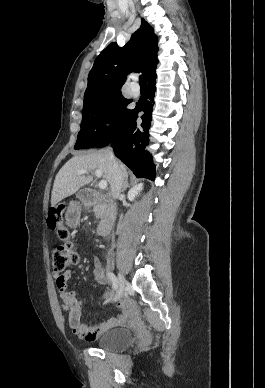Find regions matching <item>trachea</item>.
<instances>
[{"mask_svg":"<svg viewBox=\"0 0 265 388\" xmlns=\"http://www.w3.org/2000/svg\"><path fill=\"white\" fill-rule=\"evenodd\" d=\"M139 84L141 86H147V79L144 75H140L139 77Z\"/></svg>","mask_w":265,"mask_h":388,"instance_id":"trachea-1","label":"trachea"}]
</instances>
